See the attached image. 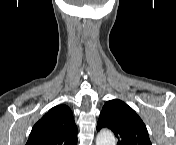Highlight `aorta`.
Wrapping results in <instances>:
<instances>
[{"label": "aorta", "mask_w": 176, "mask_h": 145, "mask_svg": "<svg viewBox=\"0 0 176 145\" xmlns=\"http://www.w3.org/2000/svg\"><path fill=\"white\" fill-rule=\"evenodd\" d=\"M96 145H115L114 134L109 130H102L96 138Z\"/></svg>", "instance_id": "obj_1"}]
</instances>
